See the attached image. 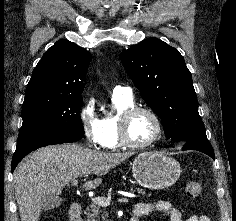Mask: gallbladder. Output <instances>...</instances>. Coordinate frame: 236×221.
<instances>
[{
  "label": "gallbladder",
  "instance_id": "obj_1",
  "mask_svg": "<svg viewBox=\"0 0 236 221\" xmlns=\"http://www.w3.org/2000/svg\"><path fill=\"white\" fill-rule=\"evenodd\" d=\"M62 202V199L55 195H47L41 201L42 210L48 211L58 207Z\"/></svg>",
  "mask_w": 236,
  "mask_h": 221
}]
</instances>
